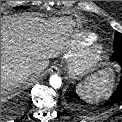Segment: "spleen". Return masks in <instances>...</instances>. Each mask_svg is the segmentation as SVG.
Instances as JSON below:
<instances>
[{"label": "spleen", "mask_w": 122, "mask_h": 122, "mask_svg": "<svg viewBox=\"0 0 122 122\" xmlns=\"http://www.w3.org/2000/svg\"><path fill=\"white\" fill-rule=\"evenodd\" d=\"M114 69L102 72L100 76H91L76 87L78 95L90 104H97L107 98L114 87Z\"/></svg>", "instance_id": "obj_1"}]
</instances>
